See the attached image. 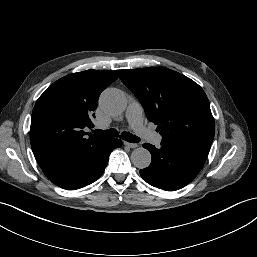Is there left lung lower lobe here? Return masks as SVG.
Returning <instances> with one entry per match:
<instances>
[{
  "label": "left lung lower lobe",
  "mask_w": 257,
  "mask_h": 257,
  "mask_svg": "<svg viewBox=\"0 0 257 257\" xmlns=\"http://www.w3.org/2000/svg\"><path fill=\"white\" fill-rule=\"evenodd\" d=\"M209 142L161 141V147L145 143L152 155L151 164L140 170L141 177L150 185L175 191L190 183L202 169L209 149Z\"/></svg>",
  "instance_id": "1"
}]
</instances>
